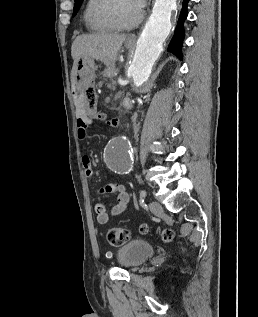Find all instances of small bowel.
<instances>
[{
    "instance_id": "1",
    "label": "small bowel",
    "mask_w": 258,
    "mask_h": 317,
    "mask_svg": "<svg viewBox=\"0 0 258 317\" xmlns=\"http://www.w3.org/2000/svg\"><path fill=\"white\" fill-rule=\"evenodd\" d=\"M109 126L117 127L119 122L117 120L107 121ZM90 122L85 119L78 120L77 136L79 140L84 141L88 137V127ZM82 166L87 177H92L94 174L91 158L87 155L82 157ZM101 194H116V203L108 208L104 203H98L95 206V212L97 214V221L100 224L108 223L112 218L124 213L128 208L129 195L124 185L111 182L106 184L100 190Z\"/></svg>"
}]
</instances>
